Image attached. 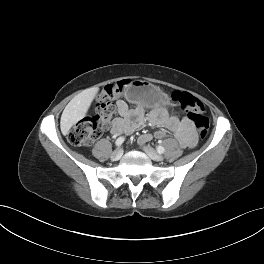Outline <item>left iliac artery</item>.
<instances>
[{
	"mask_svg": "<svg viewBox=\"0 0 264 264\" xmlns=\"http://www.w3.org/2000/svg\"><path fill=\"white\" fill-rule=\"evenodd\" d=\"M157 151H158V153L163 154L165 152V149L162 146H158Z\"/></svg>",
	"mask_w": 264,
	"mask_h": 264,
	"instance_id": "obj_1",
	"label": "left iliac artery"
}]
</instances>
